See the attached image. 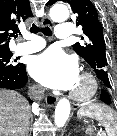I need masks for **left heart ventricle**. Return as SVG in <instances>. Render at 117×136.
Instances as JSON below:
<instances>
[{"mask_svg": "<svg viewBox=\"0 0 117 136\" xmlns=\"http://www.w3.org/2000/svg\"><path fill=\"white\" fill-rule=\"evenodd\" d=\"M73 89L76 90V91H79V92H83L87 89V84H86L85 81L78 78Z\"/></svg>", "mask_w": 117, "mask_h": 136, "instance_id": "1", "label": "left heart ventricle"}]
</instances>
